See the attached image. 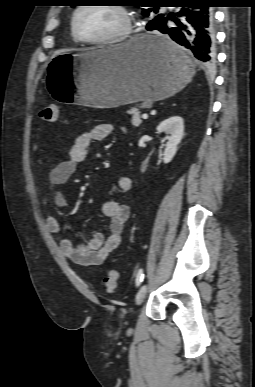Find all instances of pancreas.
Wrapping results in <instances>:
<instances>
[{
	"label": "pancreas",
	"mask_w": 255,
	"mask_h": 387,
	"mask_svg": "<svg viewBox=\"0 0 255 387\" xmlns=\"http://www.w3.org/2000/svg\"><path fill=\"white\" fill-rule=\"evenodd\" d=\"M130 114L132 115L131 123H132L133 127H138L142 123V120L140 118L139 109L136 107L131 108Z\"/></svg>",
	"instance_id": "obj_1"
}]
</instances>
